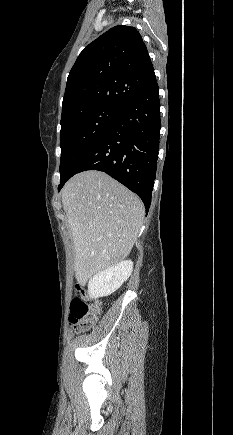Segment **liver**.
I'll use <instances>...</instances> for the list:
<instances>
[{
    "label": "liver",
    "instance_id": "obj_1",
    "mask_svg": "<svg viewBox=\"0 0 233 435\" xmlns=\"http://www.w3.org/2000/svg\"><path fill=\"white\" fill-rule=\"evenodd\" d=\"M75 251L79 283L122 261L130 253L144 217L140 198L100 171L72 177L61 192Z\"/></svg>",
    "mask_w": 233,
    "mask_h": 435
}]
</instances>
